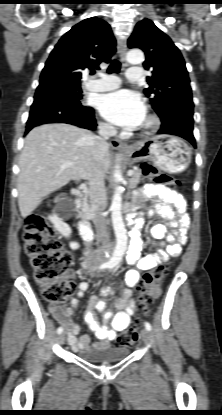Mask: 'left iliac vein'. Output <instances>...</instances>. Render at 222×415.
<instances>
[{
  "label": "left iliac vein",
  "mask_w": 222,
  "mask_h": 415,
  "mask_svg": "<svg viewBox=\"0 0 222 415\" xmlns=\"http://www.w3.org/2000/svg\"><path fill=\"white\" fill-rule=\"evenodd\" d=\"M141 337H142V340L145 343H147L149 341V339H150L149 330H147L146 328L142 329V331H141Z\"/></svg>",
  "instance_id": "4c4485c4"
}]
</instances>
